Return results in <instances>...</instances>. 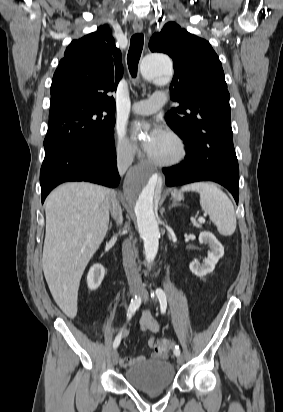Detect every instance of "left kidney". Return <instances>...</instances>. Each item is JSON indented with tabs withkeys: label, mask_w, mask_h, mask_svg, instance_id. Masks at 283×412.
I'll return each mask as SVG.
<instances>
[{
	"label": "left kidney",
	"mask_w": 283,
	"mask_h": 412,
	"mask_svg": "<svg viewBox=\"0 0 283 412\" xmlns=\"http://www.w3.org/2000/svg\"><path fill=\"white\" fill-rule=\"evenodd\" d=\"M199 241L200 243L209 245L210 251L208 252V257L202 264L191 262L189 268L196 276L202 277L211 273L215 269V265L224 255V247L212 233L206 231L200 233Z\"/></svg>",
	"instance_id": "obj_1"
}]
</instances>
